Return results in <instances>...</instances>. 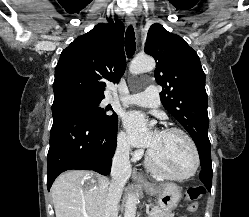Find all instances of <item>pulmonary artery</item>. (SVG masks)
<instances>
[{
  "label": "pulmonary artery",
  "instance_id": "obj_1",
  "mask_svg": "<svg viewBox=\"0 0 249 217\" xmlns=\"http://www.w3.org/2000/svg\"><path fill=\"white\" fill-rule=\"evenodd\" d=\"M120 100L149 108H157L160 106L159 93L155 86H149L143 92L137 94L121 97Z\"/></svg>",
  "mask_w": 249,
  "mask_h": 217
}]
</instances>
